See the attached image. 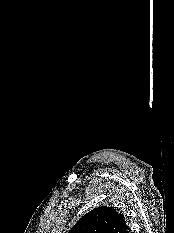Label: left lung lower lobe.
Segmentation results:
<instances>
[{
	"label": "left lung lower lobe",
	"instance_id": "1",
	"mask_svg": "<svg viewBox=\"0 0 174 233\" xmlns=\"http://www.w3.org/2000/svg\"><path fill=\"white\" fill-rule=\"evenodd\" d=\"M130 228H128L124 233H130Z\"/></svg>",
	"mask_w": 174,
	"mask_h": 233
}]
</instances>
